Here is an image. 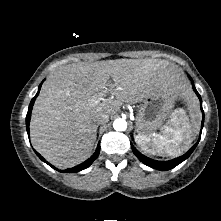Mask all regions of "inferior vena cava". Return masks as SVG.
Here are the masks:
<instances>
[{
    "mask_svg": "<svg viewBox=\"0 0 221 221\" xmlns=\"http://www.w3.org/2000/svg\"><path fill=\"white\" fill-rule=\"evenodd\" d=\"M96 125L105 124L109 121V116L106 114H97L94 118Z\"/></svg>",
    "mask_w": 221,
    "mask_h": 221,
    "instance_id": "inferior-vena-cava-1",
    "label": "inferior vena cava"
}]
</instances>
